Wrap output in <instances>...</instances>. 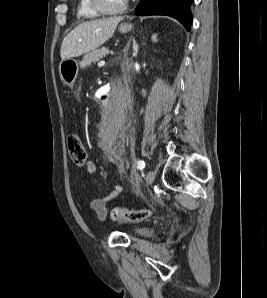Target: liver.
I'll list each match as a JSON object with an SVG mask.
<instances>
[{"label":"liver","mask_w":267,"mask_h":298,"mask_svg":"<svg viewBox=\"0 0 267 298\" xmlns=\"http://www.w3.org/2000/svg\"><path fill=\"white\" fill-rule=\"evenodd\" d=\"M122 17L86 21L76 26L63 40L62 61L93 51L112 37Z\"/></svg>","instance_id":"obj_1"}]
</instances>
